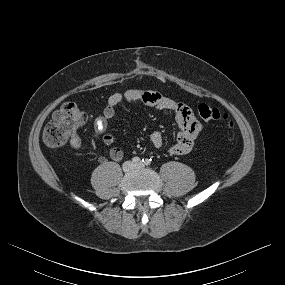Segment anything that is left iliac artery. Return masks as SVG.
<instances>
[{
  "label": "left iliac artery",
  "mask_w": 285,
  "mask_h": 285,
  "mask_svg": "<svg viewBox=\"0 0 285 285\" xmlns=\"http://www.w3.org/2000/svg\"><path fill=\"white\" fill-rule=\"evenodd\" d=\"M151 160H152V159L146 158V159H143L142 162H143L145 165H150V164H151Z\"/></svg>",
  "instance_id": "obj_1"
}]
</instances>
